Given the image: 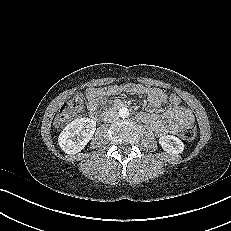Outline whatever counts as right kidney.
Returning a JSON list of instances; mask_svg holds the SVG:
<instances>
[{
	"label": "right kidney",
	"mask_w": 231,
	"mask_h": 231,
	"mask_svg": "<svg viewBox=\"0 0 231 231\" xmlns=\"http://www.w3.org/2000/svg\"><path fill=\"white\" fill-rule=\"evenodd\" d=\"M95 130L94 120L85 117L75 119L60 133L59 146L67 154H76L88 144Z\"/></svg>",
	"instance_id": "right-kidney-1"
}]
</instances>
